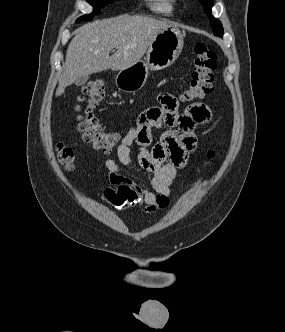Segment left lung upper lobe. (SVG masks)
<instances>
[{
	"instance_id": "5c2ea615",
	"label": "left lung upper lobe",
	"mask_w": 285,
	"mask_h": 332,
	"mask_svg": "<svg viewBox=\"0 0 285 332\" xmlns=\"http://www.w3.org/2000/svg\"><path fill=\"white\" fill-rule=\"evenodd\" d=\"M204 7V12L207 14V16L210 18V24L213 29V34L216 36H222L223 35V27L221 22L214 18L211 14V8L213 6L214 0H199Z\"/></svg>"
}]
</instances>
